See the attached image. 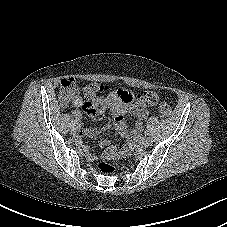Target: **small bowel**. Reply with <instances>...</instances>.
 Wrapping results in <instances>:
<instances>
[{"instance_id":"1","label":"small bowel","mask_w":227,"mask_h":227,"mask_svg":"<svg viewBox=\"0 0 227 227\" xmlns=\"http://www.w3.org/2000/svg\"><path fill=\"white\" fill-rule=\"evenodd\" d=\"M127 93H129V91L120 89L110 92L106 96L96 97L87 102L82 101L81 98H77L73 103L75 106L81 107L92 118H97L106 110H110L114 118L115 129L122 137L127 139L129 145H132L143 131L144 119L148 116V111L141 101L132 102L133 100H125L123 95ZM128 113L132 114L135 118L131 132H128L125 122V115ZM107 128V124L101 128L89 127L84 131H81L80 136H83L84 134L93 136ZM101 146L106 148V157L110 158L115 155V149L109 147L108 141H102ZM91 157L95 158L94 155Z\"/></svg>"}]
</instances>
